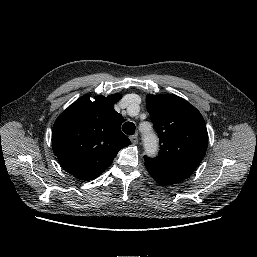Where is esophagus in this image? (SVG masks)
<instances>
[{"label":"esophagus","mask_w":257,"mask_h":257,"mask_svg":"<svg viewBox=\"0 0 257 257\" xmlns=\"http://www.w3.org/2000/svg\"><path fill=\"white\" fill-rule=\"evenodd\" d=\"M130 140H131V142H132L133 144H137V143H138V135H137V134L132 135V136L130 137Z\"/></svg>","instance_id":"1"}]
</instances>
